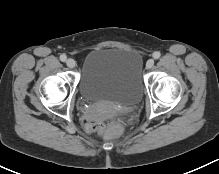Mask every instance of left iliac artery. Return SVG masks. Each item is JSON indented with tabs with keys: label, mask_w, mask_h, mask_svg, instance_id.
I'll use <instances>...</instances> for the list:
<instances>
[{
	"label": "left iliac artery",
	"mask_w": 219,
	"mask_h": 174,
	"mask_svg": "<svg viewBox=\"0 0 219 174\" xmlns=\"http://www.w3.org/2000/svg\"><path fill=\"white\" fill-rule=\"evenodd\" d=\"M160 56H161V53L158 52V51H156V52L153 53V58H154V59H158V58H160Z\"/></svg>",
	"instance_id": "44dca946"
}]
</instances>
